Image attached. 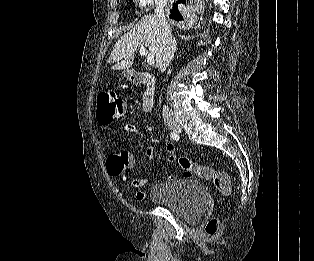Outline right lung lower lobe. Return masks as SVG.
<instances>
[{"label": "right lung lower lobe", "mask_w": 314, "mask_h": 261, "mask_svg": "<svg viewBox=\"0 0 314 261\" xmlns=\"http://www.w3.org/2000/svg\"><path fill=\"white\" fill-rule=\"evenodd\" d=\"M178 3H186V0H178L177 4L174 3V8L170 11V18L176 20V21H180L182 20V16L178 10Z\"/></svg>", "instance_id": "right-lung-lower-lobe-1"}]
</instances>
